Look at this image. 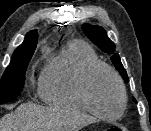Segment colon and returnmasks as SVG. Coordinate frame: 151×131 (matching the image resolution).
<instances>
[{"label":"colon","instance_id":"5ec220e1","mask_svg":"<svg viewBox=\"0 0 151 131\" xmlns=\"http://www.w3.org/2000/svg\"><path fill=\"white\" fill-rule=\"evenodd\" d=\"M106 131H126V130L123 128H120L118 126H114V127L107 129Z\"/></svg>","mask_w":151,"mask_h":131}]
</instances>
